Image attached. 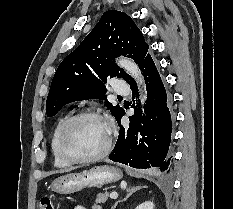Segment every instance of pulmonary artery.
Returning <instances> with one entry per match:
<instances>
[{
	"mask_svg": "<svg viewBox=\"0 0 233 209\" xmlns=\"http://www.w3.org/2000/svg\"><path fill=\"white\" fill-rule=\"evenodd\" d=\"M114 91L117 94H128L130 92V88L123 80L116 79L114 84Z\"/></svg>",
	"mask_w": 233,
	"mask_h": 209,
	"instance_id": "obj_1",
	"label": "pulmonary artery"
}]
</instances>
